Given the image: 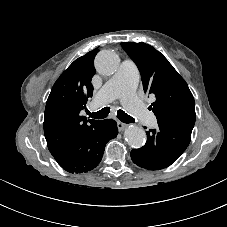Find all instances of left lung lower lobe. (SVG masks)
Segmentation results:
<instances>
[{
  "label": "left lung lower lobe",
  "instance_id": "1",
  "mask_svg": "<svg viewBox=\"0 0 227 227\" xmlns=\"http://www.w3.org/2000/svg\"><path fill=\"white\" fill-rule=\"evenodd\" d=\"M146 133V144L133 149L131 158L135 164L149 170L170 166L186 150L191 139V134L162 123Z\"/></svg>",
  "mask_w": 227,
  "mask_h": 227
}]
</instances>
